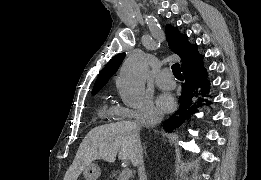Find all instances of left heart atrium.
<instances>
[{
	"mask_svg": "<svg viewBox=\"0 0 261 180\" xmlns=\"http://www.w3.org/2000/svg\"><path fill=\"white\" fill-rule=\"evenodd\" d=\"M157 109L162 112H168L174 107V98L168 92H162L156 99Z\"/></svg>",
	"mask_w": 261,
	"mask_h": 180,
	"instance_id": "left-heart-atrium-1",
	"label": "left heart atrium"
}]
</instances>
